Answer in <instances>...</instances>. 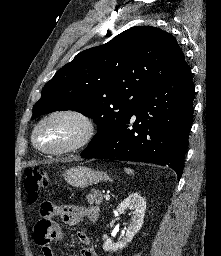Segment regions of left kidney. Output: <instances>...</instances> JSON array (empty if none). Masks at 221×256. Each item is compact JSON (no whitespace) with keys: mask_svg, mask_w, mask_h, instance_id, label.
<instances>
[{"mask_svg":"<svg viewBox=\"0 0 221 256\" xmlns=\"http://www.w3.org/2000/svg\"><path fill=\"white\" fill-rule=\"evenodd\" d=\"M127 209L133 210V216L131 217L130 225L126 230L125 236L121 241L113 243L112 240L106 234H104V251H117L125 248L127 244L132 241L136 233L141 229L146 210V202L144 198L138 193L130 194L117 207V211L119 213H124Z\"/></svg>","mask_w":221,"mask_h":256,"instance_id":"left-kidney-1","label":"left kidney"}]
</instances>
